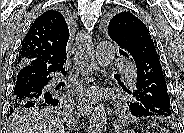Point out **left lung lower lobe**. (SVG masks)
Masks as SVG:
<instances>
[{
    "label": "left lung lower lobe",
    "instance_id": "left-lung-lower-lobe-1",
    "mask_svg": "<svg viewBox=\"0 0 184 133\" xmlns=\"http://www.w3.org/2000/svg\"><path fill=\"white\" fill-rule=\"evenodd\" d=\"M137 80L129 112L136 117L172 115V106L160 62L143 57L136 62Z\"/></svg>",
    "mask_w": 184,
    "mask_h": 133
}]
</instances>
